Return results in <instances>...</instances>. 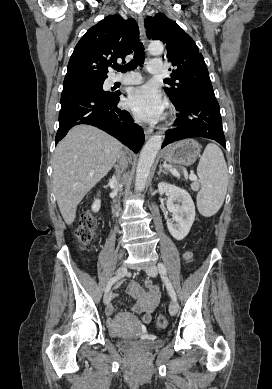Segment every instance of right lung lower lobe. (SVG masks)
Here are the masks:
<instances>
[{
  "mask_svg": "<svg viewBox=\"0 0 272 389\" xmlns=\"http://www.w3.org/2000/svg\"><path fill=\"white\" fill-rule=\"evenodd\" d=\"M119 96L120 93L90 89H63L56 144L72 126L90 124L106 131L137 153L144 142V132L127 111L117 108Z\"/></svg>",
  "mask_w": 272,
  "mask_h": 389,
  "instance_id": "obj_1",
  "label": "right lung lower lobe"
}]
</instances>
